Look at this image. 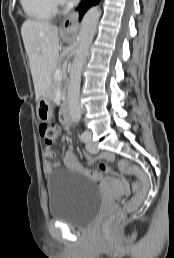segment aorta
Instances as JSON below:
<instances>
[{"mask_svg":"<svg viewBox=\"0 0 174 258\" xmlns=\"http://www.w3.org/2000/svg\"><path fill=\"white\" fill-rule=\"evenodd\" d=\"M99 17L100 9L96 6L90 8L82 19L77 38V49L70 71V82L68 87L69 112L74 123H79L81 119L79 94L82 68L95 35Z\"/></svg>","mask_w":174,"mask_h":258,"instance_id":"1","label":"aorta"}]
</instances>
